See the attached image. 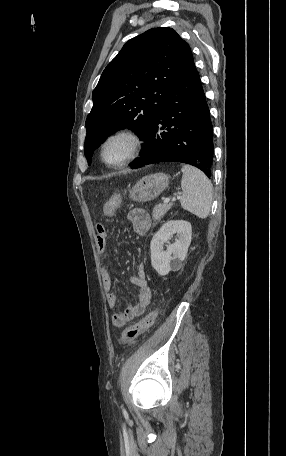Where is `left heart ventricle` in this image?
<instances>
[{
  "label": "left heart ventricle",
  "instance_id": "b2bd125f",
  "mask_svg": "<svg viewBox=\"0 0 286 456\" xmlns=\"http://www.w3.org/2000/svg\"><path fill=\"white\" fill-rule=\"evenodd\" d=\"M134 148L133 140L128 136H119L109 141L104 158L109 163H120L128 158Z\"/></svg>",
  "mask_w": 286,
  "mask_h": 456
}]
</instances>
